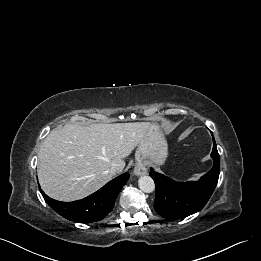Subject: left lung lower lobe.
Segmentation results:
<instances>
[{
    "mask_svg": "<svg viewBox=\"0 0 261 261\" xmlns=\"http://www.w3.org/2000/svg\"><path fill=\"white\" fill-rule=\"evenodd\" d=\"M212 169L198 181L180 183L155 171L150 172L156 185L154 209L167 219L187 217L201 210L212 195L219 178L220 158L213 137Z\"/></svg>",
    "mask_w": 261,
    "mask_h": 261,
    "instance_id": "left-lung-lower-lobe-1",
    "label": "left lung lower lobe"
}]
</instances>
